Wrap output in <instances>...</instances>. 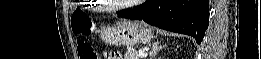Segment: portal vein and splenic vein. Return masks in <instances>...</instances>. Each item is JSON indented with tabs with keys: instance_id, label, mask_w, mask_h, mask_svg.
Returning <instances> with one entry per match:
<instances>
[{
	"instance_id": "obj_1",
	"label": "portal vein and splenic vein",
	"mask_w": 261,
	"mask_h": 59,
	"mask_svg": "<svg viewBox=\"0 0 261 59\" xmlns=\"http://www.w3.org/2000/svg\"><path fill=\"white\" fill-rule=\"evenodd\" d=\"M137 56L141 57V58H145L147 56V53L146 52H139V53H137Z\"/></svg>"
}]
</instances>
